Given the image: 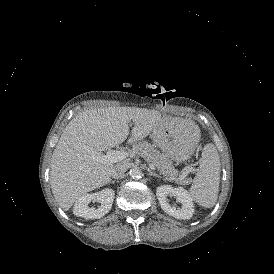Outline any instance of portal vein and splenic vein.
I'll return each mask as SVG.
<instances>
[{
    "instance_id": "18ae733b",
    "label": "portal vein and splenic vein",
    "mask_w": 274,
    "mask_h": 274,
    "mask_svg": "<svg viewBox=\"0 0 274 274\" xmlns=\"http://www.w3.org/2000/svg\"><path fill=\"white\" fill-rule=\"evenodd\" d=\"M124 153L120 151H115L114 149H109L106 153V155H97L95 154V157L101 161V162H118L123 160L124 158ZM151 169H155V167L150 164ZM184 179V176H179V177H171V180L175 181H182Z\"/></svg>"
}]
</instances>
